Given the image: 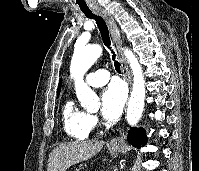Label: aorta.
<instances>
[{
  "label": "aorta",
  "instance_id": "aorta-1",
  "mask_svg": "<svg viewBox=\"0 0 199 171\" xmlns=\"http://www.w3.org/2000/svg\"><path fill=\"white\" fill-rule=\"evenodd\" d=\"M102 48L99 45H89L76 48L71 60L70 73L75 80V91L81 106L91 110L99 107V98L84 82V75L100 57ZM133 73V88L128 102L126 119L135 126L143 112L145 101V80L143 71L135 55L128 49L124 51Z\"/></svg>",
  "mask_w": 199,
  "mask_h": 171
}]
</instances>
